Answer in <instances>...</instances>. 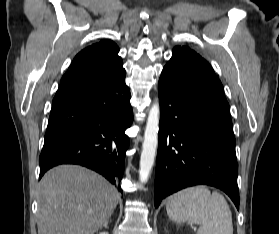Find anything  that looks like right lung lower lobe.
Returning a JSON list of instances; mask_svg holds the SVG:
<instances>
[{
	"instance_id": "right-lung-lower-lobe-1",
	"label": "right lung lower lobe",
	"mask_w": 279,
	"mask_h": 234,
	"mask_svg": "<svg viewBox=\"0 0 279 234\" xmlns=\"http://www.w3.org/2000/svg\"><path fill=\"white\" fill-rule=\"evenodd\" d=\"M125 70L90 87L54 97L40 175L59 164H78L106 177L120 188L133 121Z\"/></svg>"
}]
</instances>
